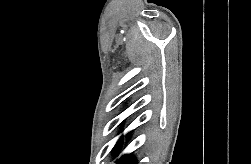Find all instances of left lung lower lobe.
I'll return each instance as SVG.
<instances>
[{
    "mask_svg": "<svg viewBox=\"0 0 251 164\" xmlns=\"http://www.w3.org/2000/svg\"><path fill=\"white\" fill-rule=\"evenodd\" d=\"M123 145V136L120 137L118 140L115 151H118ZM116 164H137L136 159L131 154H126L121 156L117 161Z\"/></svg>",
    "mask_w": 251,
    "mask_h": 164,
    "instance_id": "obj_1",
    "label": "left lung lower lobe"
}]
</instances>
